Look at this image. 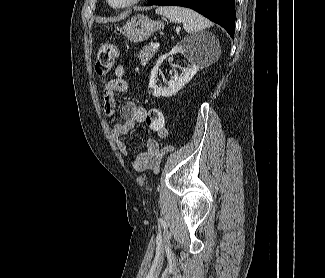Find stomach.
<instances>
[{
	"label": "stomach",
	"mask_w": 325,
	"mask_h": 278,
	"mask_svg": "<svg viewBox=\"0 0 325 278\" xmlns=\"http://www.w3.org/2000/svg\"><path fill=\"white\" fill-rule=\"evenodd\" d=\"M163 28L164 23L160 21H153L145 15H135L118 30L130 42L140 43L147 40L155 31Z\"/></svg>",
	"instance_id": "stomach-1"
}]
</instances>
